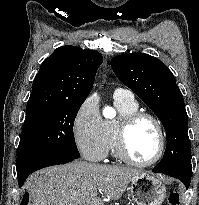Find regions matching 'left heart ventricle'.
I'll return each mask as SVG.
<instances>
[{"mask_svg": "<svg viewBox=\"0 0 199 205\" xmlns=\"http://www.w3.org/2000/svg\"><path fill=\"white\" fill-rule=\"evenodd\" d=\"M158 147V131L150 120H139L128 131L127 149L135 160L145 162L152 159Z\"/></svg>", "mask_w": 199, "mask_h": 205, "instance_id": "1", "label": "left heart ventricle"}]
</instances>
